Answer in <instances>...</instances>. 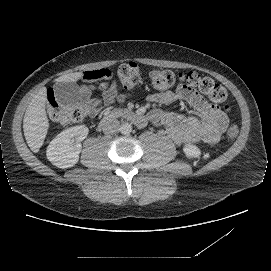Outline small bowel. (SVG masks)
I'll use <instances>...</instances> for the list:
<instances>
[{
  "label": "small bowel",
  "instance_id": "obj_1",
  "mask_svg": "<svg viewBox=\"0 0 271 271\" xmlns=\"http://www.w3.org/2000/svg\"><path fill=\"white\" fill-rule=\"evenodd\" d=\"M109 70L100 69L87 71L83 78L87 82H97ZM115 82H102L99 85H84L80 90L82 100L91 107L95 114L97 108L89 100V94L100 89L103 92L104 106H110L115 101H123L128 94H119ZM149 100L159 102L165 106H172L178 102H185L192 111L189 116L164 114L154 110L149 114V119L154 124H162L168 136L177 144L203 141L216 143L228 126V118L224 111L208 103L198 92L187 85H179L175 90L167 91L161 95H150Z\"/></svg>",
  "mask_w": 271,
  "mask_h": 271
}]
</instances>
